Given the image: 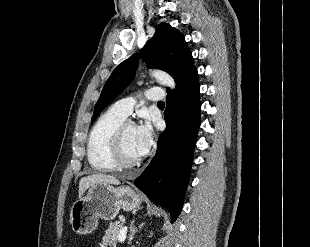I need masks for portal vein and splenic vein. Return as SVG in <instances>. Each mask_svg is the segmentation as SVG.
Listing matches in <instances>:
<instances>
[{"instance_id": "portal-vein-and-splenic-vein-1", "label": "portal vein and splenic vein", "mask_w": 310, "mask_h": 247, "mask_svg": "<svg viewBox=\"0 0 310 247\" xmlns=\"http://www.w3.org/2000/svg\"><path fill=\"white\" fill-rule=\"evenodd\" d=\"M126 235H127V227H123L120 230V234H119V242H124L126 239Z\"/></svg>"}]
</instances>
